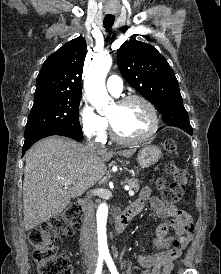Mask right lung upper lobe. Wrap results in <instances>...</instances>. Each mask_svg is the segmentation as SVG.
<instances>
[{
  "instance_id": "cb5924a9",
  "label": "right lung upper lobe",
  "mask_w": 221,
  "mask_h": 274,
  "mask_svg": "<svg viewBox=\"0 0 221 274\" xmlns=\"http://www.w3.org/2000/svg\"><path fill=\"white\" fill-rule=\"evenodd\" d=\"M86 53V41L80 36L51 54L37 76L35 99L81 95V77Z\"/></svg>"
}]
</instances>
